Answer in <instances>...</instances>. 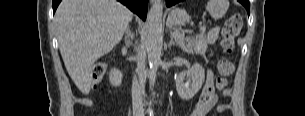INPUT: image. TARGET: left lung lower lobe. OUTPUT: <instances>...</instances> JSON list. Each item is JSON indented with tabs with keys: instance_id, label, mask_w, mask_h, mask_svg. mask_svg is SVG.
Instances as JSON below:
<instances>
[{
	"instance_id": "0a47b994",
	"label": "left lung lower lobe",
	"mask_w": 305,
	"mask_h": 116,
	"mask_svg": "<svg viewBox=\"0 0 305 116\" xmlns=\"http://www.w3.org/2000/svg\"><path fill=\"white\" fill-rule=\"evenodd\" d=\"M182 0H167V6H173L174 4L181 2ZM240 3H242V5L245 6V8L247 9V12L249 13L250 10V3L249 0H240Z\"/></svg>"
}]
</instances>
